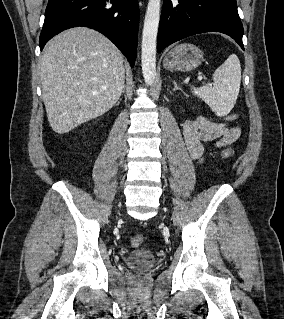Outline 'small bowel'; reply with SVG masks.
I'll list each match as a JSON object with an SVG mask.
<instances>
[{"instance_id": "1", "label": "small bowel", "mask_w": 284, "mask_h": 319, "mask_svg": "<svg viewBox=\"0 0 284 319\" xmlns=\"http://www.w3.org/2000/svg\"><path fill=\"white\" fill-rule=\"evenodd\" d=\"M182 131L185 146L190 156L196 161L203 159L204 143L214 142L216 147L222 148L234 143L241 134L238 126L215 122L201 115L186 121Z\"/></svg>"}]
</instances>
